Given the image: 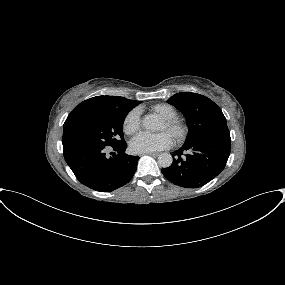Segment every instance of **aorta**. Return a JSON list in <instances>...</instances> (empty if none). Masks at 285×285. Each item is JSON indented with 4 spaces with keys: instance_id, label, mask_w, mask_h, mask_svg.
I'll return each mask as SVG.
<instances>
[{
    "instance_id": "obj_1",
    "label": "aorta",
    "mask_w": 285,
    "mask_h": 285,
    "mask_svg": "<svg viewBox=\"0 0 285 285\" xmlns=\"http://www.w3.org/2000/svg\"><path fill=\"white\" fill-rule=\"evenodd\" d=\"M143 126L147 130H155L156 124L153 119L147 117L143 120ZM173 162V158L169 153H162L158 157V163L161 167L167 168L169 167Z\"/></svg>"
}]
</instances>
